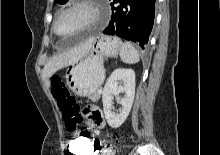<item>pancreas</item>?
Masks as SVG:
<instances>
[{
	"instance_id": "obj_1",
	"label": "pancreas",
	"mask_w": 220,
	"mask_h": 155,
	"mask_svg": "<svg viewBox=\"0 0 220 155\" xmlns=\"http://www.w3.org/2000/svg\"><path fill=\"white\" fill-rule=\"evenodd\" d=\"M92 102H97L100 99V93H96L90 97Z\"/></svg>"
}]
</instances>
